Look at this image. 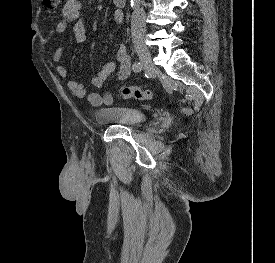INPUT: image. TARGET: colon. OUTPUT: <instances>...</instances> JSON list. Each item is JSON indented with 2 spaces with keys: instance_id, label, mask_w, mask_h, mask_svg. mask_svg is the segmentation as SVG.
<instances>
[{
  "instance_id": "obj_1",
  "label": "colon",
  "mask_w": 275,
  "mask_h": 263,
  "mask_svg": "<svg viewBox=\"0 0 275 263\" xmlns=\"http://www.w3.org/2000/svg\"><path fill=\"white\" fill-rule=\"evenodd\" d=\"M46 8L50 10L57 9L63 0H43ZM119 95L123 99L149 100L154 97V94L149 89H141L135 85L123 86L119 89Z\"/></svg>"
}]
</instances>
